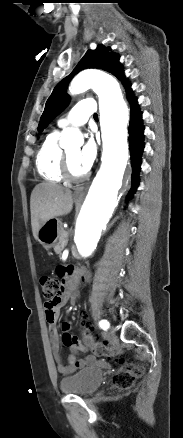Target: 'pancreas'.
I'll return each mask as SVG.
<instances>
[{"instance_id": "cf45deb5", "label": "pancreas", "mask_w": 183, "mask_h": 438, "mask_svg": "<svg viewBox=\"0 0 183 438\" xmlns=\"http://www.w3.org/2000/svg\"><path fill=\"white\" fill-rule=\"evenodd\" d=\"M68 243V232H66L65 230H62L60 237L58 239V242L56 243V245L54 246V251L56 254L61 255L63 249L65 248V246Z\"/></svg>"}]
</instances>
